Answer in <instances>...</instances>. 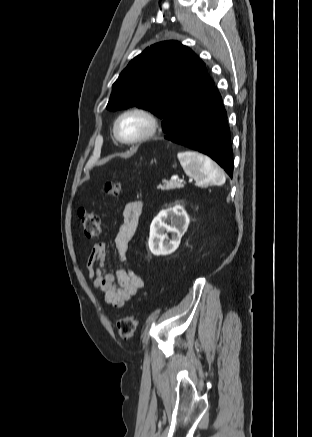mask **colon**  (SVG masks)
Returning a JSON list of instances; mask_svg holds the SVG:
<instances>
[{"instance_id": "1", "label": "colon", "mask_w": 312, "mask_h": 437, "mask_svg": "<svg viewBox=\"0 0 312 437\" xmlns=\"http://www.w3.org/2000/svg\"><path fill=\"white\" fill-rule=\"evenodd\" d=\"M121 190V185L118 181H107L104 186V193L108 197H118ZM78 216L81 227L86 236L95 238L102 233V224L99 217L91 211L79 209ZM137 327V319L133 315H127L118 321V334L122 339H130L134 336Z\"/></svg>"}]
</instances>
